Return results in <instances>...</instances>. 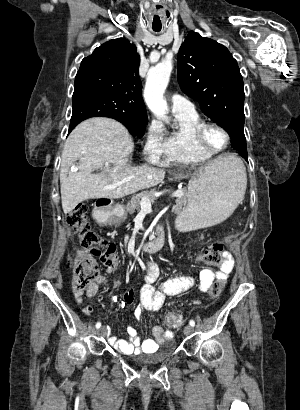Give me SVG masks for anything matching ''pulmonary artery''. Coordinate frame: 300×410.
Masks as SVG:
<instances>
[{
	"label": "pulmonary artery",
	"instance_id": "e3ab8cb5",
	"mask_svg": "<svg viewBox=\"0 0 300 410\" xmlns=\"http://www.w3.org/2000/svg\"><path fill=\"white\" fill-rule=\"evenodd\" d=\"M171 108L173 112H193L195 107L191 101L187 98L173 94L171 96Z\"/></svg>",
	"mask_w": 300,
	"mask_h": 410
}]
</instances>
